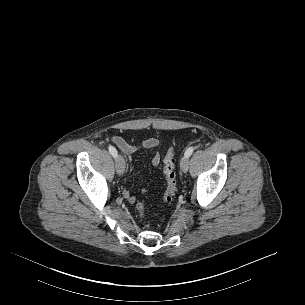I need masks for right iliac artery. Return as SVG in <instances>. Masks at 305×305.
I'll return each instance as SVG.
<instances>
[{
    "label": "right iliac artery",
    "mask_w": 305,
    "mask_h": 305,
    "mask_svg": "<svg viewBox=\"0 0 305 305\" xmlns=\"http://www.w3.org/2000/svg\"><path fill=\"white\" fill-rule=\"evenodd\" d=\"M108 150H109L110 154H111L114 158L117 157V150H116V148H115L114 146L109 145Z\"/></svg>",
    "instance_id": "obj_1"
}]
</instances>
